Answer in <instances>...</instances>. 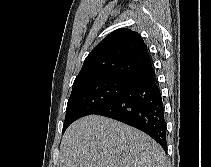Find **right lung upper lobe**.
Instances as JSON below:
<instances>
[{
	"instance_id": "1",
	"label": "right lung upper lobe",
	"mask_w": 211,
	"mask_h": 167,
	"mask_svg": "<svg viewBox=\"0 0 211 167\" xmlns=\"http://www.w3.org/2000/svg\"><path fill=\"white\" fill-rule=\"evenodd\" d=\"M151 65L147 46L140 35L120 28L89 53L72 87L103 77H129Z\"/></svg>"
}]
</instances>
